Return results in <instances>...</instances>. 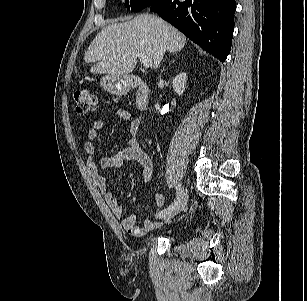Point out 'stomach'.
<instances>
[{
  "mask_svg": "<svg viewBox=\"0 0 307 301\" xmlns=\"http://www.w3.org/2000/svg\"><path fill=\"white\" fill-rule=\"evenodd\" d=\"M101 87L114 95H124L130 89L129 78L127 76H113L106 74L100 80Z\"/></svg>",
  "mask_w": 307,
  "mask_h": 301,
  "instance_id": "stomach-1",
  "label": "stomach"
}]
</instances>
